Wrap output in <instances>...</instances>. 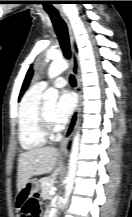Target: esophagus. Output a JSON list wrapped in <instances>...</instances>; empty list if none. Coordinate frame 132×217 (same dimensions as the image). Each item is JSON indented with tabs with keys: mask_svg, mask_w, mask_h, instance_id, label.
<instances>
[{
	"mask_svg": "<svg viewBox=\"0 0 132 217\" xmlns=\"http://www.w3.org/2000/svg\"><path fill=\"white\" fill-rule=\"evenodd\" d=\"M67 25H68V30H69V39H70V48H71V62H72V67H73V73L76 78V92L78 96V104L76 107V110L74 114L71 117V120L65 130V133L63 135V138L60 142L59 145V154L66 156L67 155V145L69 140L71 139L77 121H78V116H79V111H80V105H81V75H80V63H79V57L75 49V44H74V34L71 28V25L69 24L68 20L65 19Z\"/></svg>",
	"mask_w": 132,
	"mask_h": 217,
	"instance_id": "1",
	"label": "esophagus"
}]
</instances>
